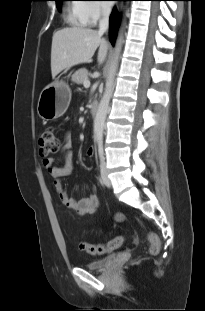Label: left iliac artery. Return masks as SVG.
Instances as JSON below:
<instances>
[{"mask_svg":"<svg viewBox=\"0 0 205 311\" xmlns=\"http://www.w3.org/2000/svg\"><path fill=\"white\" fill-rule=\"evenodd\" d=\"M98 153L100 158H103V143L101 141L98 142Z\"/></svg>","mask_w":205,"mask_h":311,"instance_id":"44dca946","label":"left iliac artery"}]
</instances>
